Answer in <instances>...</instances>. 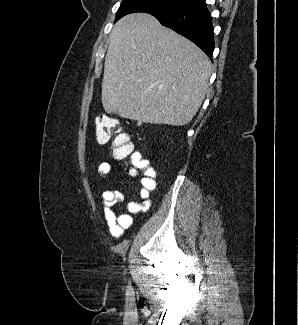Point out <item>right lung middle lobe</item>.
<instances>
[{
  "label": "right lung middle lobe",
  "instance_id": "1",
  "mask_svg": "<svg viewBox=\"0 0 298 325\" xmlns=\"http://www.w3.org/2000/svg\"><path fill=\"white\" fill-rule=\"evenodd\" d=\"M193 0H123L116 13L115 22L124 15L145 12L152 15L178 10Z\"/></svg>",
  "mask_w": 298,
  "mask_h": 325
}]
</instances>
